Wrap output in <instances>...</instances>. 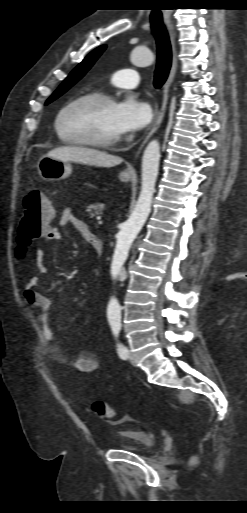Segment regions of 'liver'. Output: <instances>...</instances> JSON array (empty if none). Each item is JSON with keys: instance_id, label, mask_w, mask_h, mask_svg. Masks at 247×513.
I'll use <instances>...</instances> for the list:
<instances>
[{"instance_id": "obj_1", "label": "liver", "mask_w": 247, "mask_h": 513, "mask_svg": "<svg viewBox=\"0 0 247 513\" xmlns=\"http://www.w3.org/2000/svg\"><path fill=\"white\" fill-rule=\"evenodd\" d=\"M46 156L57 158L61 161H74L97 167H113L122 162V159L118 156L83 146L55 148L49 151Z\"/></svg>"}]
</instances>
